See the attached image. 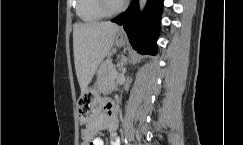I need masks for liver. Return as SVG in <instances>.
<instances>
[{"mask_svg":"<svg viewBox=\"0 0 243 145\" xmlns=\"http://www.w3.org/2000/svg\"><path fill=\"white\" fill-rule=\"evenodd\" d=\"M120 27L111 22L75 23L73 51L81 93L87 89L94 73L110 52Z\"/></svg>","mask_w":243,"mask_h":145,"instance_id":"liver-1","label":"liver"}]
</instances>
